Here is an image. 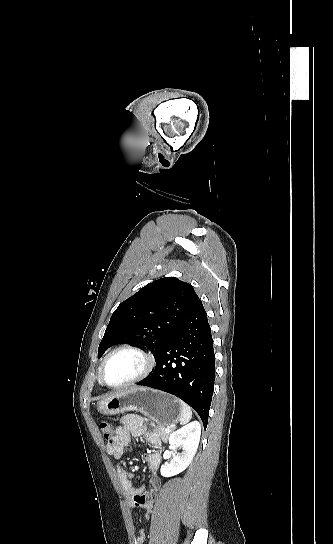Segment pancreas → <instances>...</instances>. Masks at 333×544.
<instances>
[{
  "label": "pancreas",
  "mask_w": 333,
  "mask_h": 544,
  "mask_svg": "<svg viewBox=\"0 0 333 544\" xmlns=\"http://www.w3.org/2000/svg\"><path fill=\"white\" fill-rule=\"evenodd\" d=\"M155 432L160 436V438L166 442L169 438V433L165 432V426H157Z\"/></svg>",
  "instance_id": "1"
}]
</instances>
